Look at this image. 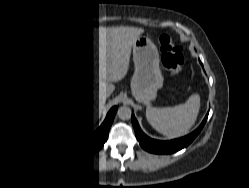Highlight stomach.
I'll list each match as a JSON object with an SVG mask.
<instances>
[{
    "label": "stomach",
    "instance_id": "obj_1",
    "mask_svg": "<svg viewBox=\"0 0 249 188\" xmlns=\"http://www.w3.org/2000/svg\"><path fill=\"white\" fill-rule=\"evenodd\" d=\"M132 48L135 65L132 93L138 101L148 103L156 98L158 89L163 85L159 53L156 45L146 36L138 37Z\"/></svg>",
    "mask_w": 249,
    "mask_h": 188
}]
</instances>
